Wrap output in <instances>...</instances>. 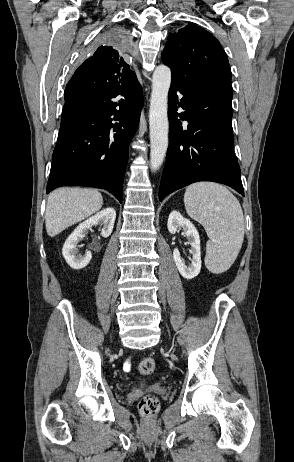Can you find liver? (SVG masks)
Returning <instances> with one entry per match:
<instances>
[{
    "mask_svg": "<svg viewBox=\"0 0 294 462\" xmlns=\"http://www.w3.org/2000/svg\"><path fill=\"white\" fill-rule=\"evenodd\" d=\"M103 205L99 191L82 188H59L50 193L46 206L47 234L54 237L66 228L98 212Z\"/></svg>",
    "mask_w": 294,
    "mask_h": 462,
    "instance_id": "1",
    "label": "liver"
}]
</instances>
